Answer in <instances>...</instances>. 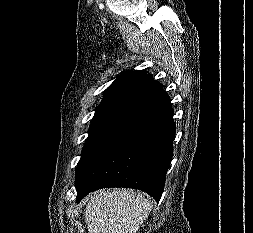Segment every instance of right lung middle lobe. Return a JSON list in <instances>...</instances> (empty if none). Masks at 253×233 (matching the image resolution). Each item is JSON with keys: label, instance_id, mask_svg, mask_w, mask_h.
<instances>
[{"label": "right lung middle lobe", "instance_id": "dd1d6c3e", "mask_svg": "<svg viewBox=\"0 0 253 233\" xmlns=\"http://www.w3.org/2000/svg\"><path fill=\"white\" fill-rule=\"evenodd\" d=\"M135 104L136 103L133 102H109L101 103L96 108L95 115L89 128V136L83 147L82 156L77 165V169L130 112Z\"/></svg>", "mask_w": 253, "mask_h": 233}]
</instances>
